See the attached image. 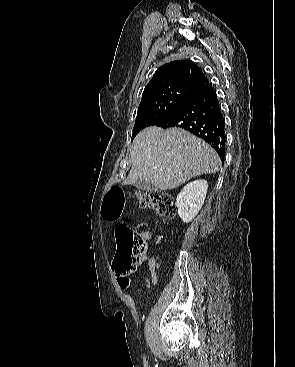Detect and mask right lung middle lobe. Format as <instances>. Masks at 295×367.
<instances>
[{"label": "right lung middle lobe", "mask_w": 295, "mask_h": 367, "mask_svg": "<svg viewBox=\"0 0 295 367\" xmlns=\"http://www.w3.org/2000/svg\"><path fill=\"white\" fill-rule=\"evenodd\" d=\"M194 91L175 87L153 93L141 99L133 128L132 139L144 128L156 125L169 116Z\"/></svg>", "instance_id": "obj_1"}]
</instances>
